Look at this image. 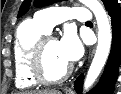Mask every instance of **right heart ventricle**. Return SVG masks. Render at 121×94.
<instances>
[{"label": "right heart ventricle", "mask_w": 121, "mask_h": 94, "mask_svg": "<svg viewBox=\"0 0 121 94\" xmlns=\"http://www.w3.org/2000/svg\"><path fill=\"white\" fill-rule=\"evenodd\" d=\"M48 31L35 19L24 21L18 28L13 48L15 82L21 89H31L39 83L30 71V54L34 43Z\"/></svg>", "instance_id": "right-heart-ventricle-1"}]
</instances>
